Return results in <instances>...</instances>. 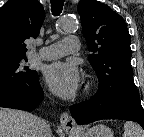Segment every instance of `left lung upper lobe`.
<instances>
[{
    "label": "left lung upper lobe",
    "mask_w": 144,
    "mask_h": 137,
    "mask_svg": "<svg viewBox=\"0 0 144 137\" xmlns=\"http://www.w3.org/2000/svg\"><path fill=\"white\" fill-rule=\"evenodd\" d=\"M82 31L88 44L89 62L105 98L137 91L130 65L131 40L124 19L110 7L95 0L78 5Z\"/></svg>",
    "instance_id": "1"
}]
</instances>
